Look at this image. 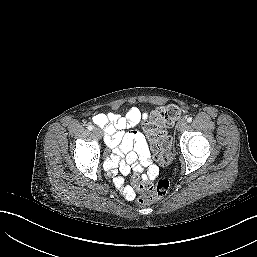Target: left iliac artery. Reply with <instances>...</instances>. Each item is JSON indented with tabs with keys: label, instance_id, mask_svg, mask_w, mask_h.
I'll use <instances>...</instances> for the list:
<instances>
[{
	"label": "left iliac artery",
	"instance_id": "left-iliac-artery-1",
	"mask_svg": "<svg viewBox=\"0 0 257 257\" xmlns=\"http://www.w3.org/2000/svg\"><path fill=\"white\" fill-rule=\"evenodd\" d=\"M187 122H188V123L192 122V117H188V118H187Z\"/></svg>",
	"mask_w": 257,
	"mask_h": 257
}]
</instances>
